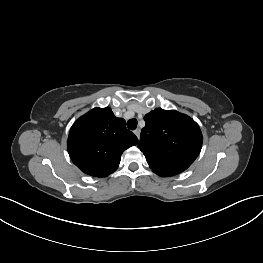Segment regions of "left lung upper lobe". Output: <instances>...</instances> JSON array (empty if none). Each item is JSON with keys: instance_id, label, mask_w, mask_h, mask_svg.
Instances as JSON below:
<instances>
[{"instance_id": "obj_1", "label": "left lung upper lobe", "mask_w": 263, "mask_h": 263, "mask_svg": "<svg viewBox=\"0 0 263 263\" xmlns=\"http://www.w3.org/2000/svg\"><path fill=\"white\" fill-rule=\"evenodd\" d=\"M139 149L153 172L162 177L186 170L202 147V133L189 116L157 108L144 117Z\"/></svg>"}]
</instances>
